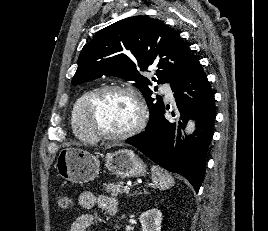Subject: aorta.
<instances>
[{
    "label": "aorta",
    "instance_id": "obj_1",
    "mask_svg": "<svg viewBox=\"0 0 268 231\" xmlns=\"http://www.w3.org/2000/svg\"><path fill=\"white\" fill-rule=\"evenodd\" d=\"M192 127H193L192 123H189L188 124V132L192 130Z\"/></svg>",
    "mask_w": 268,
    "mask_h": 231
}]
</instances>
